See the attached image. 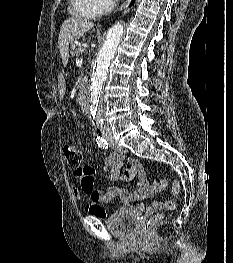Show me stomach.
Returning a JSON list of instances; mask_svg holds the SVG:
<instances>
[{
    "label": "stomach",
    "mask_w": 233,
    "mask_h": 263,
    "mask_svg": "<svg viewBox=\"0 0 233 263\" xmlns=\"http://www.w3.org/2000/svg\"><path fill=\"white\" fill-rule=\"evenodd\" d=\"M55 81L58 82V90L59 91H67V88H70V83L66 80L65 77H56Z\"/></svg>",
    "instance_id": "1"
}]
</instances>
